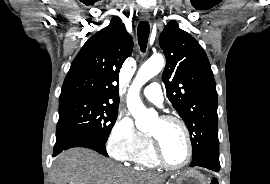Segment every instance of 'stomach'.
Returning <instances> with one entry per match:
<instances>
[{"mask_svg": "<svg viewBox=\"0 0 270 184\" xmlns=\"http://www.w3.org/2000/svg\"><path fill=\"white\" fill-rule=\"evenodd\" d=\"M170 184H208L204 175L196 170H186L175 174Z\"/></svg>", "mask_w": 270, "mask_h": 184, "instance_id": "stomach-1", "label": "stomach"}]
</instances>
